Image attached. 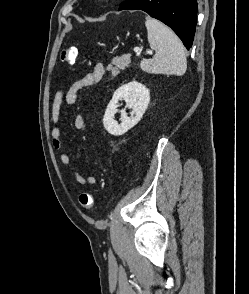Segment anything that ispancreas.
I'll list each match as a JSON object with an SVG mask.
<instances>
[{"mask_svg":"<svg viewBox=\"0 0 249 294\" xmlns=\"http://www.w3.org/2000/svg\"><path fill=\"white\" fill-rule=\"evenodd\" d=\"M131 63L130 55H123L121 57H115L111 64L107 67L108 71H111L112 76H116L120 73V70H125Z\"/></svg>","mask_w":249,"mask_h":294,"instance_id":"pancreas-1","label":"pancreas"}]
</instances>
